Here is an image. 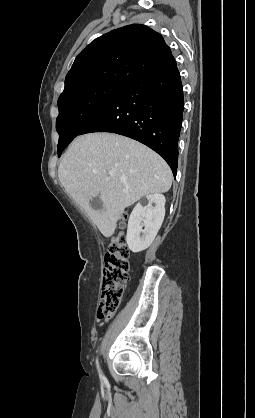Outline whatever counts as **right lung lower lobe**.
Returning a JSON list of instances; mask_svg holds the SVG:
<instances>
[{"label": "right lung lower lobe", "mask_w": 255, "mask_h": 418, "mask_svg": "<svg viewBox=\"0 0 255 418\" xmlns=\"http://www.w3.org/2000/svg\"><path fill=\"white\" fill-rule=\"evenodd\" d=\"M184 109L176 63L128 84L79 133L112 132L156 151L176 176Z\"/></svg>", "instance_id": "1"}]
</instances>
